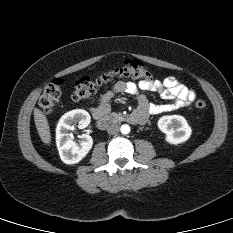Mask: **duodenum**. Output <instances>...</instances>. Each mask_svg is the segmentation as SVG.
I'll return each mask as SVG.
<instances>
[{"instance_id":"duodenum-1","label":"duodenum","mask_w":233,"mask_h":233,"mask_svg":"<svg viewBox=\"0 0 233 233\" xmlns=\"http://www.w3.org/2000/svg\"><path fill=\"white\" fill-rule=\"evenodd\" d=\"M147 116L139 111H135L130 115L126 116L125 119L133 124H144ZM117 119L116 116H111L108 114H102L97 117V126L100 129L107 128L110 124H112Z\"/></svg>"}]
</instances>
